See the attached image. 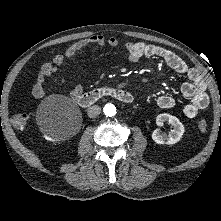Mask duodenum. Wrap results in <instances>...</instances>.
<instances>
[{
    "label": "duodenum",
    "instance_id": "obj_1",
    "mask_svg": "<svg viewBox=\"0 0 221 221\" xmlns=\"http://www.w3.org/2000/svg\"><path fill=\"white\" fill-rule=\"evenodd\" d=\"M103 97H111L121 103L130 104L133 102V96L130 92L111 87L97 88L89 92L80 94L77 97V102L82 107H90Z\"/></svg>",
    "mask_w": 221,
    "mask_h": 221
}]
</instances>
